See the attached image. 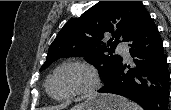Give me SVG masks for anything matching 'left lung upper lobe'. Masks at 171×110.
I'll return each mask as SVG.
<instances>
[{"instance_id": "1", "label": "left lung upper lobe", "mask_w": 171, "mask_h": 110, "mask_svg": "<svg viewBox=\"0 0 171 110\" xmlns=\"http://www.w3.org/2000/svg\"><path fill=\"white\" fill-rule=\"evenodd\" d=\"M149 15L141 1H99L63 26L40 71L60 57L85 56L107 81L122 61L121 56L113 55L119 39L130 42ZM108 33L112 38L106 41Z\"/></svg>"}]
</instances>
